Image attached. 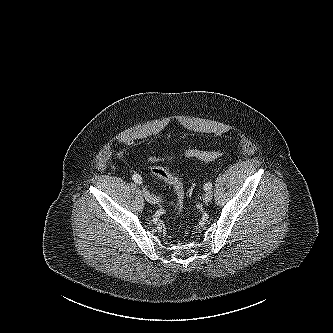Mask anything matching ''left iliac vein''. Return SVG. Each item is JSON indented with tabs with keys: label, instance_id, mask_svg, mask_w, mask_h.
<instances>
[{
	"label": "left iliac vein",
	"instance_id": "4c4485c4",
	"mask_svg": "<svg viewBox=\"0 0 333 333\" xmlns=\"http://www.w3.org/2000/svg\"><path fill=\"white\" fill-rule=\"evenodd\" d=\"M212 197H213L212 192H211L210 190H208V191L204 194L203 200H204L205 203H208V202L211 201Z\"/></svg>",
	"mask_w": 333,
	"mask_h": 333
}]
</instances>
